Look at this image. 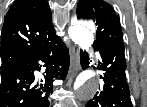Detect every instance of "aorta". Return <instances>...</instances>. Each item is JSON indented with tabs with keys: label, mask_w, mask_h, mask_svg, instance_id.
<instances>
[{
	"label": "aorta",
	"mask_w": 147,
	"mask_h": 107,
	"mask_svg": "<svg viewBox=\"0 0 147 107\" xmlns=\"http://www.w3.org/2000/svg\"><path fill=\"white\" fill-rule=\"evenodd\" d=\"M93 29L94 26L92 24L81 23L70 26L68 34L75 44L84 49L91 47L94 42ZM99 85V79L95 74L89 71L82 72L74 84L77 90V98L79 100H88L92 98L98 91Z\"/></svg>",
	"instance_id": "aorta-1"
}]
</instances>
